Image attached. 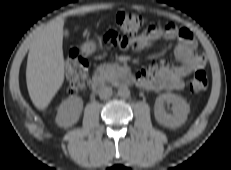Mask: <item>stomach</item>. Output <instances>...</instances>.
<instances>
[{"label":"stomach","mask_w":231,"mask_h":170,"mask_svg":"<svg viewBox=\"0 0 231 170\" xmlns=\"http://www.w3.org/2000/svg\"><path fill=\"white\" fill-rule=\"evenodd\" d=\"M84 50L87 53H92L95 50L94 42H89L84 46Z\"/></svg>","instance_id":"stomach-1"}]
</instances>
